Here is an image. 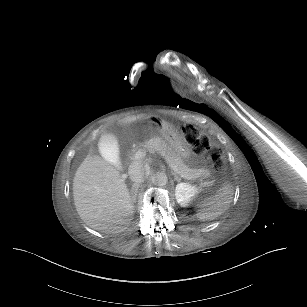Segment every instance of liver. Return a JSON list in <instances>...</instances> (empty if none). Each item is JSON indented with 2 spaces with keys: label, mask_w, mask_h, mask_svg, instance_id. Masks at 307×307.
<instances>
[{
  "label": "liver",
  "mask_w": 307,
  "mask_h": 307,
  "mask_svg": "<svg viewBox=\"0 0 307 307\" xmlns=\"http://www.w3.org/2000/svg\"><path fill=\"white\" fill-rule=\"evenodd\" d=\"M146 116L122 119L130 125ZM73 197L76 211L90 228L117 233L127 230L132 222L126 219L133 213V202L125 179L100 156H87L73 179Z\"/></svg>",
  "instance_id": "obj_1"
}]
</instances>
